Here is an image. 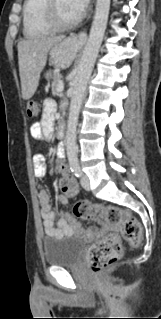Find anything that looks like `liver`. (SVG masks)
<instances>
[{
  "instance_id": "liver-1",
  "label": "liver",
  "mask_w": 161,
  "mask_h": 319,
  "mask_svg": "<svg viewBox=\"0 0 161 319\" xmlns=\"http://www.w3.org/2000/svg\"><path fill=\"white\" fill-rule=\"evenodd\" d=\"M63 39V36H52L22 40L18 43L19 73L24 100L30 99L36 92L48 52Z\"/></svg>"
}]
</instances>
